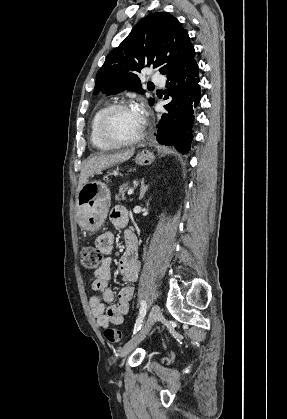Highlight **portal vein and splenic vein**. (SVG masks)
Listing matches in <instances>:
<instances>
[{"mask_svg": "<svg viewBox=\"0 0 287 419\" xmlns=\"http://www.w3.org/2000/svg\"><path fill=\"white\" fill-rule=\"evenodd\" d=\"M133 192H134V188L129 189V190H128V195L133 194Z\"/></svg>", "mask_w": 287, "mask_h": 419, "instance_id": "obj_1", "label": "portal vein and splenic vein"}]
</instances>
